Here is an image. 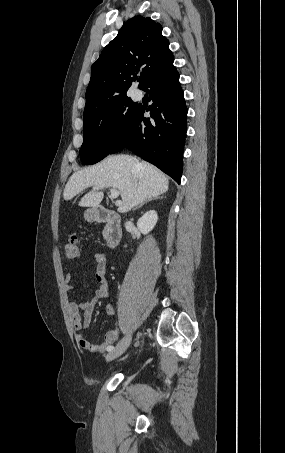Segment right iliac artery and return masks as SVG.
Masks as SVG:
<instances>
[{
    "mask_svg": "<svg viewBox=\"0 0 285 453\" xmlns=\"http://www.w3.org/2000/svg\"><path fill=\"white\" fill-rule=\"evenodd\" d=\"M112 349H114V347L110 346V347L107 348V351H111Z\"/></svg>",
    "mask_w": 285,
    "mask_h": 453,
    "instance_id": "1",
    "label": "right iliac artery"
}]
</instances>
